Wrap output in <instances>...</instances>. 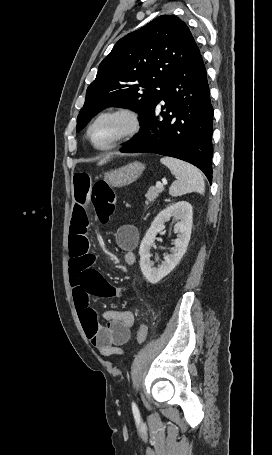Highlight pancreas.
<instances>
[{
	"label": "pancreas",
	"instance_id": "obj_1",
	"mask_svg": "<svg viewBox=\"0 0 272 455\" xmlns=\"http://www.w3.org/2000/svg\"><path fill=\"white\" fill-rule=\"evenodd\" d=\"M163 191V188H157V187H151L145 197H146V205H148L149 203H152L158 196L159 194Z\"/></svg>",
	"mask_w": 272,
	"mask_h": 455
}]
</instances>
